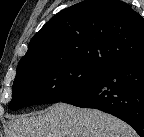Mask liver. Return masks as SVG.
I'll use <instances>...</instances> for the list:
<instances>
[{"mask_svg":"<svg viewBox=\"0 0 144 137\" xmlns=\"http://www.w3.org/2000/svg\"><path fill=\"white\" fill-rule=\"evenodd\" d=\"M8 137H138L135 130L108 113L55 103L38 115L8 122Z\"/></svg>","mask_w":144,"mask_h":137,"instance_id":"6515ba94","label":"liver"}]
</instances>
